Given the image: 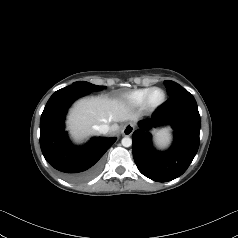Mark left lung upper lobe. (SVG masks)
Segmentation results:
<instances>
[{"mask_svg":"<svg viewBox=\"0 0 238 238\" xmlns=\"http://www.w3.org/2000/svg\"><path fill=\"white\" fill-rule=\"evenodd\" d=\"M164 84L167 88V93L169 96H173L176 93H178L180 90L184 89L182 86H180L178 83L174 81L166 80Z\"/></svg>","mask_w":238,"mask_h":238,"instance_id":"1","label":"left lung upper lobe"}]
</instances>
